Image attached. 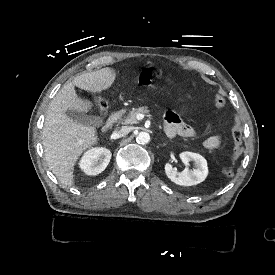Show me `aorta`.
I'll list each match as a JSON object with an SVG mask.
<instances>
[{"label":"aorta","instance_id":"762f6f07","mask_svg":"<svg viewBox=\"0 0 275 275\" xmlns=\"http://www.w3.org/2000/svg\"><path fill=\"white\" fill-rule=\"evenodd\" d=\"M136 141L139 144H146L150 141V135L147 132H139V134L136 137Z\"/></svg>","mask_w":275,"mask_h":275}]
</instances>
